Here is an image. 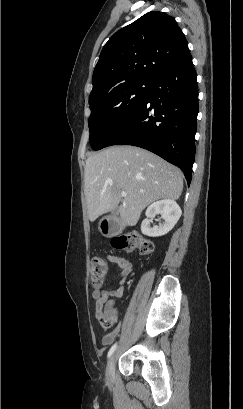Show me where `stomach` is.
Wrapping results in <instances>:
<instances>
[{
    "label": "stomach",
    "instance_id": "1",
    "mask_svg": "<svg viewBox=\"0 0 243 409\" xmlns=\"http://www.w3.org/2000/svg\"><path fill=\"white\" fill-rule=\"evenodd\" d=\"M98 228H99L100 232H101L104 236H109V235L111 234L110 228H109V227H106V226L103 224L102 221L99 223V227H98Z\"/></svg>",
    "mask_w": 243,
    "mask_h": 409
}]
</instances>
